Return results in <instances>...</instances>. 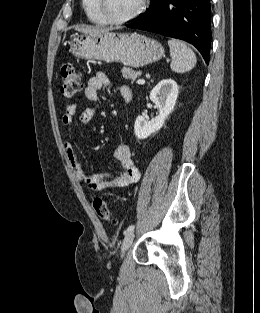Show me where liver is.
I'll list each match as a JSON object with an SVG mask.
<instances>
[{
  "instance_id": "obj_1",
  "label": "liver",
  "mask_w": 260,
  "mask_h": 313,
  "mask_svg": "<svg viewBox=\"0 0 260 313\" xmlns=\"http://www.w3.org/2000/svg\"><path fill=\"white\" fill-rule=\"evenodd\" d=\"M76 30L85 34H95V33L107 32L112 29L100 28V27H78L76 28Z\"/></svg>"
}]
</instances>
